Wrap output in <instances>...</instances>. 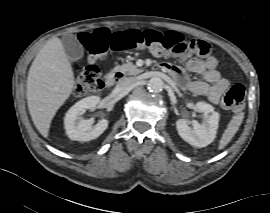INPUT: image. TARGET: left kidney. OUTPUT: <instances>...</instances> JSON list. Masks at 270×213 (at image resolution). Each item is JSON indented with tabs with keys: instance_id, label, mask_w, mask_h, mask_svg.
I'll list each match as a JSON object with an SVG mask.
<instances>
[{
	"instance_id": "left-kidney-1",
	"label": "left kidney",
	"mask_w": 270,
	"mask_h": 213,
	"mask_svg": "<svg viewBox=\"0 0 270 213\" xmlns=\"http://www.w3.org/2000/svg\"><path fill=\"white\" fill-rule=\"evenodd\" d=\"M196 108L203 113L204 122L200 124L195 120L189 122L185 119H179L176 122V128L184 141L192 146L202 148L214 141L220 115L212 105L205 102L196 103ZM189 123L192 124V128Z\"/></svg>"
}]
</instances>
